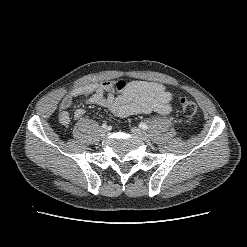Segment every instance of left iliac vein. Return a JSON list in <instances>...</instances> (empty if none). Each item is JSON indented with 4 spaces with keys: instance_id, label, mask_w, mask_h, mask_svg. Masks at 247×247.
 <instances>
[{
    "instance_id": "1",
    "label": "left iliac vein",
    "mask_w": 247,
    "mask_h": 247,
    "mask_svg": "<svg viewBox=\"0 0 247 247\" xmlns=\"http://www.w3.org/2000/svg\"><path fill=\"white\" fill-rule=\"evenodd\" d=\"M131 132L133 134H135L136 136H138L139 138H141L142 140L146 141V142L150 141L149 135L146 132H144L141 129H139V128L132 127L131 128Z\"/></svg>"
}]
</instances>
